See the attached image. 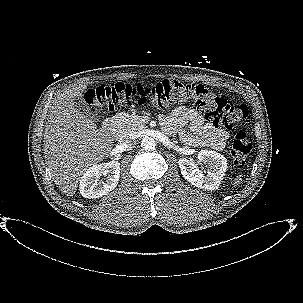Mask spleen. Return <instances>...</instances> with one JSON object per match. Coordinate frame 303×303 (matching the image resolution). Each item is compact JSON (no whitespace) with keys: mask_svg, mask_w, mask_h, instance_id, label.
I'll return each mask as SVG.
<instances>
[{"mask_svg":"<svg viewBox=\"0 0 303 303\" xmlns=\"http://www.w3.org/2000/svg\"><path fill=\"white\" fill-rule=\"evenodd\" d=\"M241 181H242L241 176H238V177L235 178V184L236 185H238L239 183H241Z\"/></svg>","mask_w":303,"mask_h":303,"instance_id":"3e777b00","label":"spleen"}]
</instances>
